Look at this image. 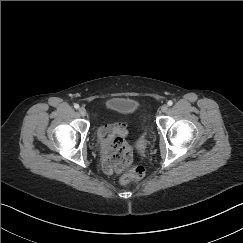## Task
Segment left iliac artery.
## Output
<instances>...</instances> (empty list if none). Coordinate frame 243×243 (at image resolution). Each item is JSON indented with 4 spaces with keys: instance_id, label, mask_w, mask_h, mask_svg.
Masks as SVG:
<instances>
[{
    "instance_id": "44dca946",
    "label": "left iliac artery",
    "mask_w": 243,
    "mask_h": 243,
    "mask_svg": "<svg viewBox=\"0 0 243 243\" xmlns=\"http://www.w3.org/2000/svg\"><path fill=\"white\" fill-rule=\"evenodd\" d=\"M167 104H168V106H172V105H173V102H172L171 100H169V101L167 102Z\"/></svg>"
}]
</instances>
